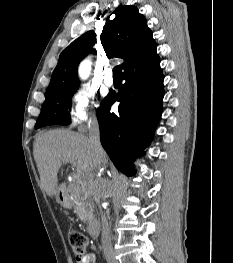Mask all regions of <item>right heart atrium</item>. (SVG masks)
Segmentation results:
<instances>
[{"label": "right heart atrium", "mask_w": 233, "mask_h": 263, "mask_svg": "<svg viewBox=\"0 0 233 263\" xmlns=\"http://www.w3.org/2000/svg\"><path fill=\"white\" fill-rule=\"evenodd\" d=\"M97 106L95 93L86 86L76 88L71 95L69 120L72 126L88 122L94 118L92 108Z\"/></svg>", "instance_id": "1"}]
</instances>
